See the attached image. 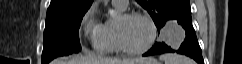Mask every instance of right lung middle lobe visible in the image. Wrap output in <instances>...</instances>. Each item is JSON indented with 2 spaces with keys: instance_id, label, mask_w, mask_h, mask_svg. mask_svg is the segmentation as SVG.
<instances>
[{
  "instance_id": "obj_1",
  "label": "right lung middle lobe",
  "mask_w": 242,
  "mask_h": 64,
  "mask_svg": "<svg viewBox=\"0 0 242 64\" xmlns=\"http://www.w3.org/2000/svg\"><path fill=\"white\" fill-rule=\"evenodd\" d=\"M85 13L46 17L42 64L81 50L78 34Z\"/></svg>"
}]
</instances>
